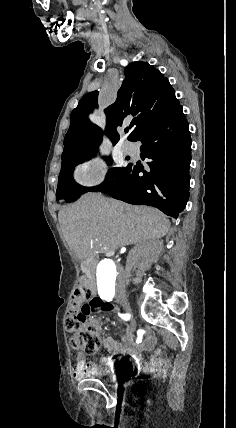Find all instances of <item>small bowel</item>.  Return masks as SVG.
Listing matches in <instances>:
<instances>
[{
  "mask_svg": "<svg viewBox=\"0 0 236 428\" xmlns=\"http://www.w3.org/2000/svg\"><path fill=\"white\" fill-rule=\"evenodd\" d=\"M133 328L128 327L120 341L113 339L112 337L103 338L104 349L108 352L107 355L100 357L99 363L101 365L112 367L115 365L116 359L119 356L128 355L130 356L137 365L144 369H151L159 363L157 359L146 360L142 356V351H148L154 348L156 339L150 333H144L138 331L139 342H134L131 338ZM145 339L143 340V336ZM157 356L162 354V350H157ZM98 364L87 361L86 355L82 352L78 353L77 360L74 368L75 376H80L86 371L97 368Z\"/></svg>",
  "mask_w": 236,
  "mask_h": 428,
  "instance_id": "1",
  "label": "small bowel"
}]
</instances>
